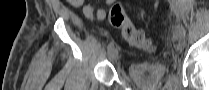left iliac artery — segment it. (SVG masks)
Instances as JSON below:
<instances>
[{
    "label": "left iliac artery",
    "instance_id": "left-iliac-artery-1",
    "mask_svg": "<svg viewBox=\"0 0 209 90\" xmlns=\"http://www.w3.org/2000/svg\"><path fill=\"white\" fill-rule=\"evenodd\" d=\"M169 2L172 8V13L177 19H179V21L182 22V18H183V15L181 14L182 9L181 6L179 5L178 0H170Z\"/></svg>",
    "mask_w": 209,
    "mask_h": 90
}]
</instances>
